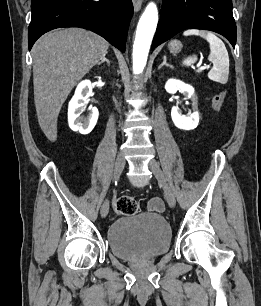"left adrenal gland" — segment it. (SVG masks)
<instances>
[{"mask_svg": "<svg viewBox=\"0 0 261 306\" xmlns=\"http://www.w3.org/2000/svg\"><path fill=\"white\" fill-rule=\"evenodd\" d=\"M163 66L173 68V66H172V65H170V64H168V63H167L166 56H164V57H163V62H162V64H161V65H159V67H158V68L160 69V68H162Z\"/></svg>", "mask_w": 261, "mask_h": 306, "instance_id": "left-adrenal-gland-1", "label": "left adrenal gland"}]
</instances>
